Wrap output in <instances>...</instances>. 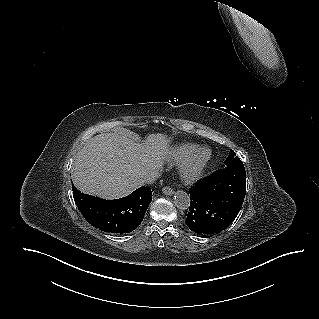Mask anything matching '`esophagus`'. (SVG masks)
<instances>
[{"instance_id":"esophagus-1","label":"esophagus","mask_w":319,"mask_h":319,"mask_svg":"<svg viewBox=\"0 0 319 319\" xmlns=\"http://www.w3.org/2000/svg\"><path fill=\"white\" fill-rule=\"evenodd\" d=\"M162 191L165 195L171 196L174 194V190L169 186L164 187Z\"/></svg>"}]
</instances>
